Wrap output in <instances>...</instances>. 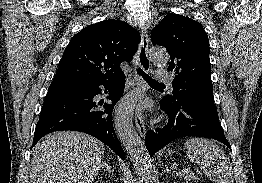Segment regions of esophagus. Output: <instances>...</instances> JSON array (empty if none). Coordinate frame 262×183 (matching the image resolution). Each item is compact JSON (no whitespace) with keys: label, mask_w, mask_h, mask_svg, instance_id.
<instances>
[{"label":"esophagus","mask_w":262,"mask_h":183,"mask_svg":"<svg viewBox=\"0 0 262 183\" xmlns=\"http://www.w3.org/2000/svg\"><path fill=\"white\" fill-rule=\"evenodd\" d=\"M138 64L145 71H150V59L148 56V34L144 27L141 28V43L138 52ZM132 85L135 90H139V101L135 111V124L141 137L146 135V126L143 118V98L146 94V89L142 85L141 78L134 73L132 76Z\"/></svg>","instance_id":"1"}]
</instances>
